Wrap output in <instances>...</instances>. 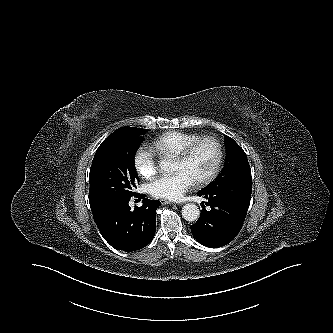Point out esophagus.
<instances>
[{
    "mask_svg": "<svg viewBox=\"0 0 333 333\" xmlns=\"http://www.w3.org/2000/svg\"><path fill=\"white\" fill-rule=\"evenodd\" d=\"M160 202H161L162 205L172 204V202H170V201H168L166 199H161Z\"/></svg>",
    "mask_w": 333,
    "mask_h": 333,
    "instance_id": "esophagus-1",
    "label": "esophagus"
}]
</instances>
